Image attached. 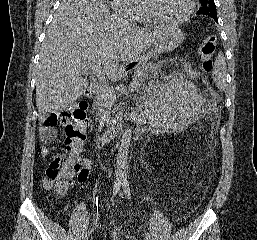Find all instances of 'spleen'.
I'll list each match as a JSON object with an SVG mask.
<instances>
[{
    "mask_svg": "<svg viewBox=\"0 0 257 240\" xmlns=\"http://www.w3.org/2000/svg\"><path fill=\"white\" fill-rule=\"evenodd\" d=\"M212 75L215 85L220 90H224L226 87V63L222 53H220L216 59Z\"/></svg>",
    "mask_w": 257,
    "mask_h": 240,
    "instance_id": "1",
    "label": "spleen"
}]
</instances>
